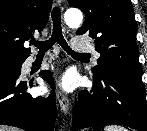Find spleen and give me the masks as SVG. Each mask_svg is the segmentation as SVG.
I'll return each instance as SVG.
<instances>
[{
  "mask_svg": "<svg viewBox=\"0 0 147 131\" xmlns=\"http://www.w3.org/2000/svg\"><path fill=\"white\" fill-rule=\"evenodd\" d=\"M104 131H127L123 126L109 125L104 127Z\"/></svg>",
  "mask_w": 147,
  "mask_h": 131,
  "instance_id": "obj_1",
  "label": "spleen"
}]
</instances>
